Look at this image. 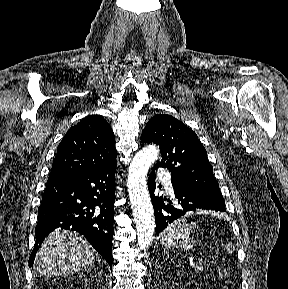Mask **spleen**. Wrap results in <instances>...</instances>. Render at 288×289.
Listing matches in <instances>:
<instances>
[{"label": "spleen", "mask_w": 288, "mask_h": 289, "mask_svg": "<svg viewBox=\"0 0 288 289\" xmlns=\"http://www.w3.org/2000/svg\"><path fill=\"white\" fill-rule=\"evenodd\" d=\"M198 225L188 223L186 219H179L169 225L161 234V242L165 245H171L181 238L189 235Z\"/></svg>", "instance_id": "obj_1"}]
</instances>
